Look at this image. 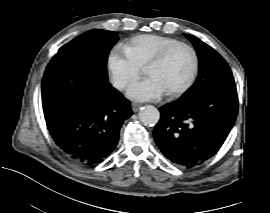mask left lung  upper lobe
I'll return each instance as SVG.
<instances>
[{
  "instance_id": "left-lung-upper-lobe-1",
  "label": "left lung upper lobe",
  "mask_w": 270,
  "mask_h": 213,
  "mask_svg": "<svg viewBox=\"0 0 270 213\" xmlns=\"http://www.w3.org/2000/svg\"><path fill=\"white\" fill-rule=\"evenodd\" d=\"M184 35L192 42L198 54L199 74L196 82L182 98H198L229 83H235L228 64L219 53L197 37Z\"/></svg>"
}]
</instances>
